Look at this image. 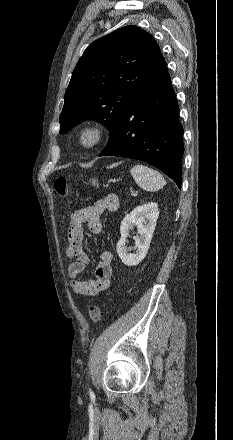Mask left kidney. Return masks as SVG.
Instances as JSON below:
<instances>
[{
	"mask_svg": "<svg viewBox=\"0 0 233 440\" xmlns=\"http://www.w3.org/2000/svg\"><path fill=\"white\" fill-rule=\"evenodd\" d=\"M158 216V205L151 202L136 207L123 219L120 225L121 238L117 243V253L125 265H138L145 258L150 247ZM134 226L137 227L139 236L134 237L135 253H129L126 241L129 231Z\"/></svg>",
	"mask_w": 233,
	"mask_h": 440,
	"instance_id": "obj_1",
	"label": "left kidney"
}]
</instances>
